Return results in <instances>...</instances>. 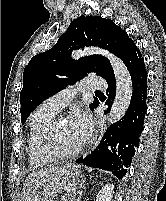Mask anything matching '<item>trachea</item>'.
<instances>
[{
	"label": "trachea",
	"mask_w": 166,
	"mask_h": 201,
	"mask_svg": "<svg viewBox=\"0 0 166 201\" xmlns=\"http://www.w3.org/2000/svg\"><path fill=\"white\" fill-rule=\"evenodd\" d=\"M97 93H101L100 91H96Z\"/></svg>",
	"instance_id": "trachea-1"
}]
</instances>
